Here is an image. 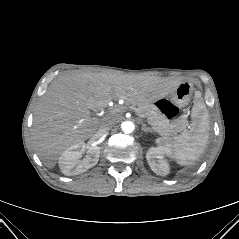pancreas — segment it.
Segmentation results:
<instances>
[{
    "mask_svg": "<svg viewBox=\"0 0 239 239\" xmlns=\"http://www.w3.org/2000/svg\"><path fill=\"white\" fill-rule=\"evenodd\" d=\"M137 113L144 114L152 129L163 137H169L180 132L188 125L186 119L181 118L170 122L167 117L153 104H139L130 106Z\"/></svg>",
    "mask_w": 239,
    "mask_h": 239,
    "instance_id": "1",
    "label": "pancreas"
}]
</instances>
